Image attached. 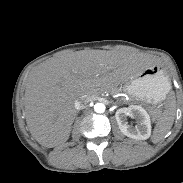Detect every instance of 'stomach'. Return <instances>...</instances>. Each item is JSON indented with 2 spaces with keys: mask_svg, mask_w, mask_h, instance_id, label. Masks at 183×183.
<instances>
[{
  "mask_svg": "<svg viewBox=\"0 0 183 183\" xmlns=\"http://www.w3.org/2000/svg\"><path fill=\"white\" fill-rule=\"evenodd\" d=\"M122 84L124 91L130 96L147 103L157 104L166 98L170 82L163 70L154 66L130 75Z\"/></svg>",
  "mask_w": 183,
  "mask_h": 183,
  "instance_id": "stomach-1",
  "label": "stomach"
}]
</instances>
